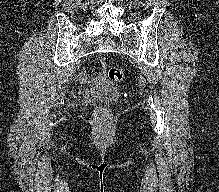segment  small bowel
Returning a JSON list of instances; mask_svg holds the SVG:
<instances>
[{
  "mask_svg": "<svg viewBox=\"0 0 219 192\" xmlns=\"http://www.w3.org/2000/svg\"><path fill=\"white\" fill-rule=\"evenodd\" d=\"M103 70H104V67L102 66V71L94 75H88L86 72H81L79 75V78L82 81H91V82L100 81L104 77Z\"/></svg>",
  "mask_w": 219,
  "mask_h": 192,
  "instance_id": "1",
  "label": "small bowel"
}]
</instances>
